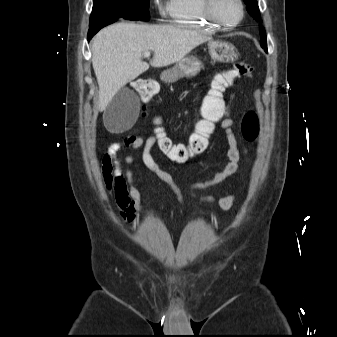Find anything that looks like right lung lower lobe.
<instances>
[{
    "label": "right lung lower lobe",
    "instance_id": "1",
    "mask_svg": "<svg viewBox=\"0 0 337 337\" xmlns=\"http://www.w3.org/2000/svg\"><path fill=\"white\" fill-rule=\"evenodd\" d=\"M115 21H104V22H99L94 25L90 26V29L88 31V40H90L101 28L113 23Z\"/></svg>",
    "mask_w": 337,
    "mask_h": 337
}]
</instances>
